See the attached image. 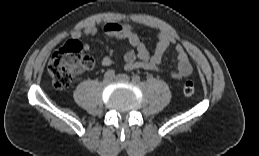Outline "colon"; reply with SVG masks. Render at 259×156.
<instances>
[{
    "mask_svg": "<svg viewBox=\"0 0 259 156\" xmlns=\"http://www.w3.org/2000/svg\"><path fill=\"white\" fill-rule=\"evenodd\" d=\"M92 59L85 55L82 45L76 40H70L51 56L47 71L53 84L58 89L67 88L73 79L82 71L91 68ZM195 92L192 81L183 84V93L187 96Z\"/></svg>",
    "mask_w": 259,
    "mask_h": 156,
    "instance_id": "1",
    "label": "colon"
}]
</instances>
